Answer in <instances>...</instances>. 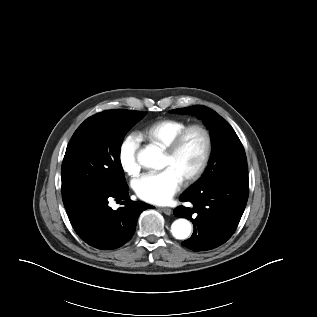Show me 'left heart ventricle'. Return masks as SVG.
Returning <instances> with one entry per match:
<instances>
[{"label": "left heart ventricle", "mask_w": 317, "mask_h": 317, "mask_svg": "<svg viewBox=\"0 0 317 317\" xmlns=\"http://www.w3.org/2000/svg\"><path fill=\"white\" fill-rule=\"evenodd\" d=\"M205 148V139L198 130L191 131L176 156L165 153L163 167L173 168L182 179L193 173L198 167Z\"/></svg>", "instance_id": "left-heart-ventricle-1"}]
</instances>
